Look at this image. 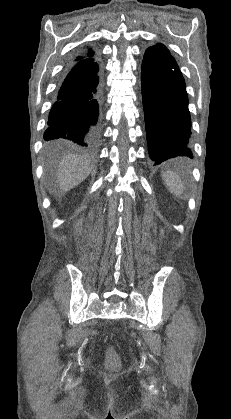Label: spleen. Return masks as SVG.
Wrapping results in <instances>:
<instances>
[{"label": "spleen", "mask_w": 231, "mask_h": 419, "mask_svg": "<svg viewBox=\"0 0 231 419\" xmlns=\"http://www.w3.org/2000/svg\"><path fill=\"white\" fill-rule=\"evenodd\" d=\"M162 178L172 194L177 197L182 195L184 187L179 175L172 171H166L162 173Z\"/></svg>", "instance_id": "spleen-1"}]
</instances>
